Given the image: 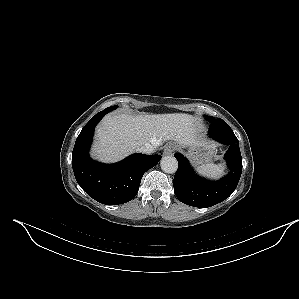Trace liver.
I'll return each instance as SVG.
<instances>
[{
    "instance_id": "obj_1",
    "label": "liver",
    "mask_w": 299,
    "mask_h": 299,
    "mask_svg": "<svg viewBox=\"0 0 299 299\" xmlns=\"http://www.w3.org/2000/svg\"><path fill=\"white\" fill-rule=\"evenodd\" d=\"M168 140L184 148L199 144L196 118L182 113L109 114L96 129L92 155L104 162H114L141 146L151 144L157 148Z\"/></svg>"
}]
</instances>
